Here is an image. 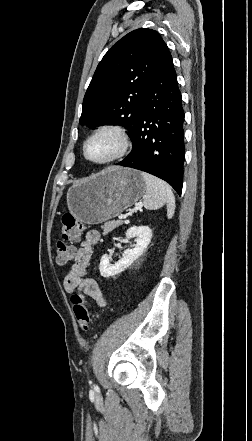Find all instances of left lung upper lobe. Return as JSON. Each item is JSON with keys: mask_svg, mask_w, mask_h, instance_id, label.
I'll return each instance as SVG.
<instances>
[{"mask_svg": "<svg viewBox=\"0 0 252 441\" xmlns=\"http://www.w3.org/2000/svg\"><path fill=\"white\" fill-rule=\"evenodd\" d=\"M165 42L140 28L115 43L98 64L83 100L80 124L124 126L134 136L147 90Z\"/></svg>", "mask_w": 252, "mask_h": 441, "instance_id": "obj_1", "label": "left lung upper lobe"}]
</instances>
